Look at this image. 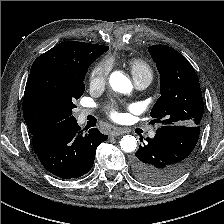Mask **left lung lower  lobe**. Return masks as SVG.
Returning a JSON list of instances; mask_svg holds the SVG:
<instances>
[{"label": "left lung lower lobe", "instance_id": "1", "mask_svg": "<svg viewBox=\"0 0 224 224\" xmlns=\"http://www.w3.org/2000/svg\"><path fill=\"white\" fill-rule=\"evenodd\" d=\"M200 126L167 125L140 145L132 160L135 177L148 185H166L187 168L198 141Z\"/></svg>", "mask_w": 224, "mask_h": 224}]
</instances>
